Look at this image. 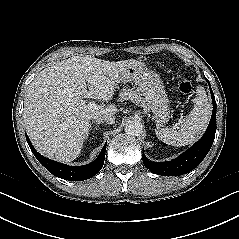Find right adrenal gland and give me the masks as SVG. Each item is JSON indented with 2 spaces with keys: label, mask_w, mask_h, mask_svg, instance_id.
Segmentation results:
<instances>
[{
  "label": "right adrenal gland",
  "mask_w": 239,
  "mask_h": 239,
  "mask_svg": "<svg viewBox=\"0 0 239 239\" xmlns=\"http://www.w3.org/2000/svg\"><path fill=\"white\" fill-rule=\"evenodd\" d=\"M93 123H96L95 129L97 130L98 127H99V125H100L102 122H100V121H93L92 123H90L89 131L92 130V124H93ZM88 134H89V133H88ZM87 139H88V135H87Z\"/></svg>",
  "instance_id": "right-adrenal-gland-1"
}]
</instances>
